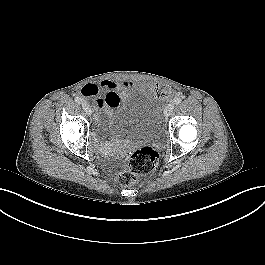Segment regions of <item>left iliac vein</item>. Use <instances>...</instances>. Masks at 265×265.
Listing matches in <instances>:
<instances>
[{
    "mask_svg": "<svg viewBox=\"0 0 265 265\" xmlns=\"http://www.w3.org/2000/svg\"><path fill=\"white\" fill-rule=\"evenodd\" d=\"M174 104L173 103H170V104H168L167 106H166V108H165V110H164V116H165V118H168L171 114H172V112H173V110H174Z\"/></svg>",
    "mask_w": 265,
    "mask_h": 265,
    "instance_id": "obj_1",
    "label": "left iliac vein"
}]
</instances>
